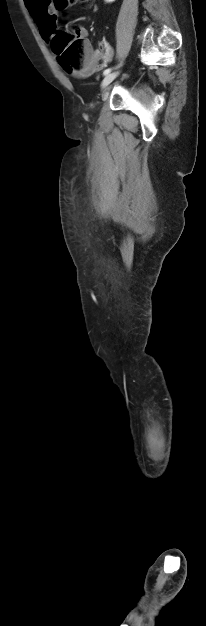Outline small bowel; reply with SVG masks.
<instances>
[{
    "label": "small bowel",
    "mask_w": 206,
    "mask_h": 626,
    "mask_svg": "<svg viewBox=\"0 0 206 626\" xmlns=\"http://www.w3.org/2000/svg\"><path fill=\"white\" fill-rule=\"evenodd\" d=\"M35 22L37 23L42 37L50 44L57 55L59 65L71 76L75 78H87L101 70L113 56V50L107 42H101L98 49L93 50L87 40L88 30L81 26L77 29V35L84 39L88 54L80 67L68 64L60 53L55 51V31L57 22V12L47 0H31L27 2Z\"/></svg>",
    "instance_id": "obj_1"
}]
</instances>
